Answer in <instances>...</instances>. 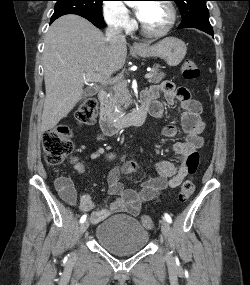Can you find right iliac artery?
<instances>
[{"instance_id": "82829eb1", "label": "right iliac artery", "mask_w": 250, "mask_h": 285, "mask_svg": "<svg viewBox=\"0 0 250 285\" xmlns=\"http://www.w3.org/2000/svg\"><path fill=\"white\" fill-rule=\"evenodd\" d=\"M86 215H83L81 218H80V223H83L85 220H86Z\"/></svg>"}]
</instances>
